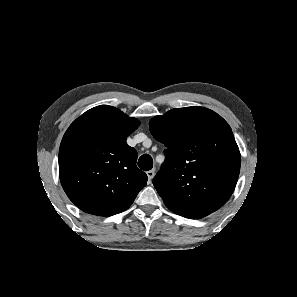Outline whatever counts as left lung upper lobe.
<instances>
[{"label":"left lung upper lobe","mask_w":297,"mask_h":297,"mask_svg":"<svg viewBox=\"0 0 297 297\" xmlns=\"http://www.w3.org/2000/svg\"><path fill=\"white\" fill-rule=\"evenodd\" d=\"M149 128L166 146V160L153 184L167 208L199 219L223 206L235 189L241 162L228 123L194 106L155 116Z\"/></svg>","instance_id":"1"}]
</instances>
